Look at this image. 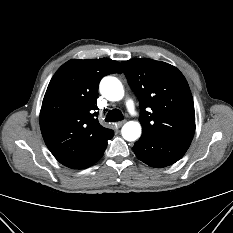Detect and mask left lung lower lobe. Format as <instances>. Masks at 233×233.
<instances>
[{"instance_id":"left-lung-lower-lobe-1","label":"left lung lower lobe","mask_w":233,"mask_h":233,"mask_svg":"<svg viewBox=\"0 0 233 233\" xmlns=\"http://www.w3.org/2000/svg\"><path fill=\"white\" fill-rule=\"evenodd\" d=\"M191 142L172 141L151 135H144L135 142L133 151L144 163L161 168L172 165L183 157Z\"/></svg>"}]
</instances>
